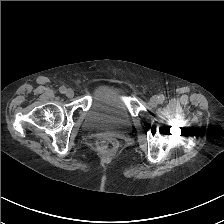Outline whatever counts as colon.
Listing matches in <instances>:
<instances>
[{
	"label": "colon",
	"instance_id": "colon-1",
	"mask_svg": "<svg viewBox=\"0 0 224 224\" xmlns=\"http://www.w3.org/2000/svg\"><path fill=\"white\" fill-rule=\"evenodd\" d=\"M98 145L102 150H105V151H113L117 147V143L115 142V140L111 138L99 139Z\"/></svg>",
	"mask_w": 224,
	"mask_h": 224
}]
</instances>
